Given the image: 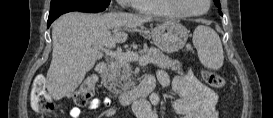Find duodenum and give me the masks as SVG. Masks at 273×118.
Here are the masks:
<instances>
[{
	"label": "duodenum",
	"instance_id": "1",
	"mask_svg": "<svg viewBox=\"0 0 273 118\" xmlns=\"http://www.w3.org/2000/svg\"><path fill=\"white\" fill-rule=\"evenodd\" d=\"M96 70L100 75H104L107 71V64L105 62H99L96 65ZM155 81L144 80L137 87L121 92L118 95V100L121 104L127 105L139 99H143L154 88Z\"/></svg>",
	"mask_w": 273,
	"mask_h": 118
}]
</instances>
